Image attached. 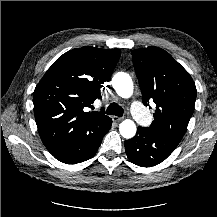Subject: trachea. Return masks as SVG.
<instances>
[{
	"label": "trachea",
	"mask_w": 217,
	"mask_h": 217,
	"mask_svg": "<svg viewBox=\"0 0 217 217\" xmlns=\"http://www.w3.org/2000/svg\"><path fill=\"white\" fill-rule=\"evenodd\" d=\"M105 113L108 114V115H115V116H118V117H122L123 113H124V110L120 105L113 102L108 106Z\"/></svg>",
	"instance_id": "3493384b"
}]
</instances>
